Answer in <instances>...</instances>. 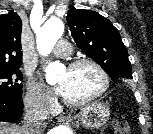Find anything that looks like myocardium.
<instances>
[{
    "label": "myocardium",
    "mask_w": 153,
    "mask_h": 134,
    "mask_svg": "<svg viewBox=\"0 0 153 134\" xmlns=\"http://www.w3.org/2000/svg\"><path fill=\"white\" fill-rule=\"evenodd\" d=\"M81 65L92 66L100 75L102 83H101L100 88L95 93H93L92 95H90L86 98H83L81 100H70V99H67L66 97L63 96L62 97L63 102L66 105L71 106V107H80V106H83L85 104H88V103L96 100L97 98L102 96L108 90L109 85H110V78H109L107 71L104 69V67L99 62H97L96 60H94L92 58L76 59L68 65L67 69L73 70Z\"/></svg>",
    "instance_id": "obj_1"
}]
</instances>
